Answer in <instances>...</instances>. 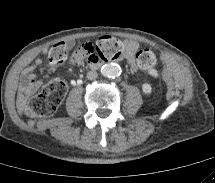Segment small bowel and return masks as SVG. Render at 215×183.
<instances>
[{
  "mask_svg": "<svg viewBox=\"0 0 215 183\" xmlns=\"http://www.w3.org/2000/svg\"><path fill=\"white\" fill-rule=\"evenodd\" d=\"M138 47L137 42L133 40L126 41L123 58L132 67H134V60ZM84 58L85 56L83 53L76 51L72 57V62L79 63L83 61ZM41 85L42 82L37 79L34 74V67L27 69L19 84V94L17 96L19 108L22 109L26 106L29 98L39 90Z\"/></svg>",
  "mask_w": 215,
  "mask_h": 183,
  "instance_id": "1",
  "label": "small bowel"
}]
</instances>
